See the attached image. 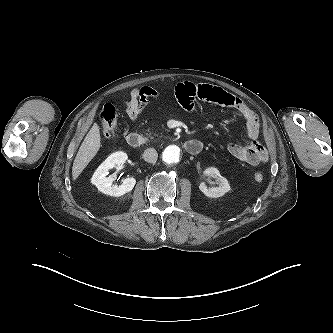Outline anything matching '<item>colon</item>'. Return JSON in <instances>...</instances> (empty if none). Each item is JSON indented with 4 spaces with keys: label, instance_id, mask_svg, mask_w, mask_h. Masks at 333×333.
Listing matches in <instances>:
<instances>
[{
    "label": "colon",
    "instance_id": "1",
    "mask_svg": "<svg viewBox=\"0 0 333 333\" xmlns=\"http://www.w3.org/2000/svg\"><path fill=\"white\" fill-rule=\"evenodd\" d=\"M99 122L105 136L111 137L115 135L117 130V114L113 105H104L99 114ZM253 179L255 182L260 183L264 180V176L260 172H256Z\"/></svg>",
    "mask_w": 333,
    "mask_h": 333
}]
</instances>
